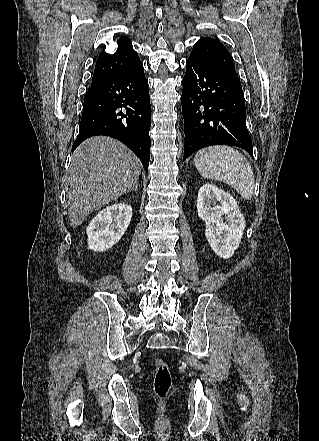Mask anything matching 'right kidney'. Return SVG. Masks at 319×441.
I'll return each instance as SVG.
<instances>
[{
    "label": "right kidney",
    "instance_id": "obj_1",
    "mask_svg": "<svg viewBox=\"0 0 319 441\" xmlns=\"http://www.w3.org/2000/svg\"><path fill=\"white\" fill-rule=\"evenodd\" d=\"M131 217L132 208L125 203H116L102 210L86 229L89 249L103 252L113 247L124 235Z\"/></svg>",
    "mask_w": 319,
    "mask_h": 441
}]
</instances>
